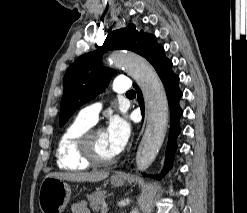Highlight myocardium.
Returning <instances> with one entry per match:
<instances>
[{
	"instance_id": "obj_1",
	"label": "myocardium",
	"mask_w": 247,
	"mask_h": 213,
	"mask_svg": "<svg viewBox=\"0 0 247 213\" xmlns=\"http://www.w3.org/2000/svg\"><path fill=\"white\" fill-rule=\"evenodd\" d=\"M98 128H89L80 135L77 141V152L80 159L90 166H108L116 161V156L110 159H100L94 153L93 139Z\"/></svg>"
}]
</instances>
